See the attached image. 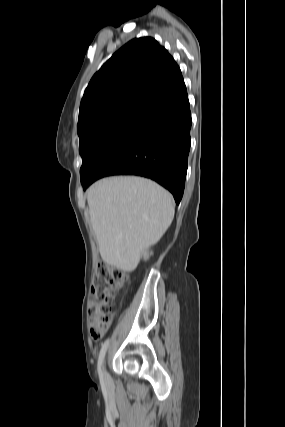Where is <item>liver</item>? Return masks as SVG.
<instances>
[{"instance_id":"6515ba94","label":"liver","mask_w":285,"mask_h":427,"mask_svg":"<svg viewBox=\"0 0 285 427\" xmlns=\"http://www.w3.org/2000/svg\"><path fill=\"white\" fill-rule=\"evenodd\" d=\"M90 220L104 262L132 270L141 254L171 225L174 202L155 182L117 176L94 183L87 192Z\"/></svg>"}]
</instances>
